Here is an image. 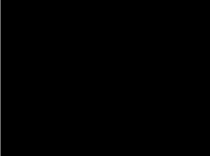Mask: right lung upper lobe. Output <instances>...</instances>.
<instances>
[{
    "instance_id": "cb5924a9",
    "label": "right lung upper lobe",
    "mask_w": 210,
    "mask_h": 156,
    "mask_svg": "<svg viewBox=\"0 0 210 156\" xmlns=\"http://www.w3.org/2000/svg\"><path fill=\"white\" fill-rule=\"evenodd\" d=\"M77 82L65 73L57 74L44 88L40 118L45 132L54 140L80 137L87 121L77 107Z\"/></svg>"
}]
</instances>
